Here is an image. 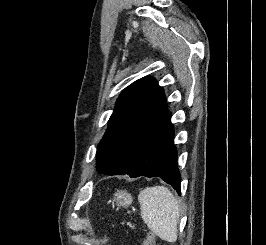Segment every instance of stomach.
<instances>
[{"label":"stomach","instance_id":"obj_1","mask_svg":"<svg viewBox=\"0 0 266 245\" xmlns=\"http://www.w3.org/2000/svg\"><path fill=\"white\" fill-rule=\"evenodd\" d=\"M114 203H116L117 207H123V209H127L133 203V197L127 191H116L114 193Z\"/></svg>","mask_w":266,"mask_h":245}]
</instances>
